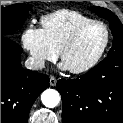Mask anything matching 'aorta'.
<instances>
[{
  "instance_id": "1",
  "label": "aorta",
  "mask_w": 123,
  "mask_h": 123,
  "mask_svg": "<svg viewBox=\"0 0 123 123\" xmlns=\"http://www.w3.org/2000/svg\"><path fill=\"white\" fill-rule=\"evenodd\" d=\"M41 100L44 106L54 108L60 102V94L54 89H47L42 93Z\"/></svg>"
}]
</instances>
